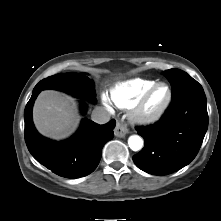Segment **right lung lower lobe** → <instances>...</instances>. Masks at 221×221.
I'll return each mask as SVG.
<instances>
[{
	"label": "right lung lower lobe",
	"mask_w": 221,
	"mask_h": 221,
	"mask_svg": "<svg viewBox=\"0 0 221 221\" xmlns=\"http://www.w3.org/2000/svg\"><path fill=\"white\" fill-rule=\"evenodd\" d=\"M41 90L34 89L25 107V141L29 152L42 165L65 178L92 173L102 156L105 143L114 137L115 120L104 125L83 119L79 130L69 139L56 142L42 137L32 121V107ZM82 110L86 104L81 103Z\"/></svg>",
	"instance_id": "98d812e1"
}]
</instances>
